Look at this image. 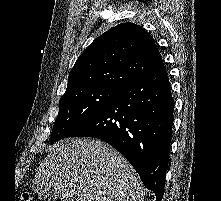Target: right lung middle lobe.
<instances>
[{"label": "right lung middle lobe", "mask_w": 221, "mask_h": 201, "mask_svg": "<svg viewBox=\"0 0 221 201\" xmlns=\"http://www.w3.org/2000/svg\"><path fill=\"white\" fill-rule=\"evenodd\" d=\"M118 90L106 87H91L65 93L59 101L50 142L68 135L104 108Z\"/></svg>", "instance_id": "right-lung-middle-lobe-1"}]
</instances>
